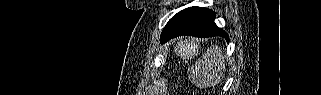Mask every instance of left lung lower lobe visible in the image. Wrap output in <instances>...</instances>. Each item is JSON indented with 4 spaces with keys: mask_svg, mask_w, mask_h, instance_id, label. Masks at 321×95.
Wrapping results in <instances>:
<instances>
[{
    "mask_svg": "<svg viewBox=\"0 0 321 95\" xmlns=\"http://www.w3.org/2000/svg\"><path fill=\"white\" fill-rule=\"evenodd\" d=\"M214 19L215 13L210 9L200 7L184 9L168 21L162 31L160 42L165 43L181 35L201 38L221 36L229 41L227 33L216 26Z\"/></svg>",
    "mask_w": 321,
    "mask_h": 95,
    "instance_id": "0a47b994",
    "label": "left lung lower lobe"
}]
</instances>
